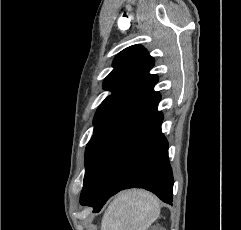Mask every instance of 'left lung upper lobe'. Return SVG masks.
Here are the masks:
<instances>
[{"label": "left lung upper lobe", "mask_w": 241, "mask_h": 230, "mask_svg": "<svg viewBox=\"0 0 241 230\" xmlns=\"http://www.w3.org/2000/svg\"><path fill=\"white\" fill-rule=\"evenodd\" d=\"M154 59L140 45L121 51L103 88L112 92L98 107L94 133L85 152L86 169L96 152L116 133L141 114L159 95L153 90L158 77L149 74Z\"/></svg>", "instance_id": "5c2ea615"}]
</instances>
